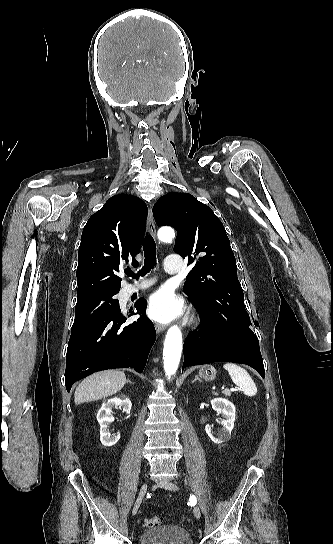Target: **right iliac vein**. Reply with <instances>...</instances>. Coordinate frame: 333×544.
<instances>
[{
    "label": "right iliac vein",
    "mask_w": 333,
    "mask_h": 544,
    "mask_svg": "<svg viewBox=\"0 0 333 544\" xmlns=\"http://www.w3.org/2000/svg\"><path fill=\"white\" fill-rule=\"evenodd\" d=\"M147 484L144 483L141 488H140V492H139V496H138V499L136 500L134 506H133V509H132V515H136V513L138 512V509L140 507V504L142 502V499L144 498L146 492H147Z\"/></svg>",
    "instance_id": "63e3f726"
}]
</instances>
